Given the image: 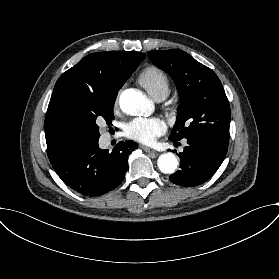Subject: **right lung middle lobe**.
I'll list each match as a JSON object with an SVG mask.
<instances>
[{
	"mask_svg": "<svg viewBox=\"0 0 279 279\" xmlns=\"http://www.w3.org/2000/svg\"><path fill=\"white\" fill-rule=\"evenodd\" d=\"M121 87L74 90L61 96L50 118L56 135L73 151L97 141L98 120L103 118L112 124L113 105Z\"/></svg>",
	"mask_w": 279,
	"mask_h": 279,
	"instance_id": "1",
	"label": "right lung middle lobe"
}]
</instances>
